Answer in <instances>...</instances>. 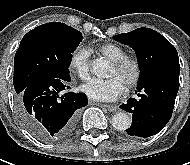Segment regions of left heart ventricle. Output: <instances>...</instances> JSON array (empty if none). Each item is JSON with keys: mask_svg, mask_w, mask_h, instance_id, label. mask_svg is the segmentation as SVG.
Listing matches in <instances>:
<instances>
[{"mask_svg": "<svg viewBox=\"0 0 190 165\" xmlns=\"http://www.w3.org/2000/svg\"><path fill=\"white\" fill-rule=\"evenodd\" d=\"M131 76V71H118L116 70L113 65L110 67L109 73H108V77H116L118 78L123 84L124 86L126 85L128 79Z\"/></svg>", "mask_w": 190, "mask_h": 165, "instance_id": "obj_1", "label": "left heart ventricle"}]
</instances>
